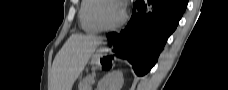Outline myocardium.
<instances>
[{
    "instance_id": "1",
    "label": "myocardium",
    "mask_w": 228,
    "mask_h": 90,
    "mask_svg": "<svg viewBox=\"0 0 228 90\" xmlns=\"http://www.w3.org/2000/svg\"><path fill=\"white\" fill-rule=\"evenodd\" d=\"M106 2L119 4L122 8V15H121L120 19L112 25H106L99 16V10L101 8V5ZM93 19H94L95 23L102 30H114L116 28H119L120 26H122L125 23V21L127 19V12H126V9L124 8L123 4L118 0H97V4L95 5L94 10H93Z\"/></svg>"
}]
</instances>
